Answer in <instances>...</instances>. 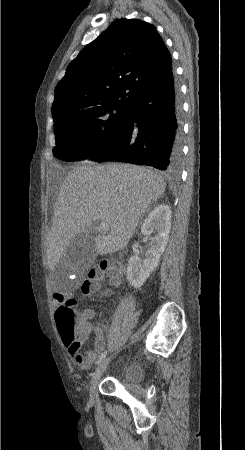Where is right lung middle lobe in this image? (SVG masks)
<instances>
[{
	"mask_svg": "<svg viewBox=\"0 0 245 450\" xmlns=\"http://www.w3.org/2000/svg\"><path fill=\"white\" fill-rule=\"evenodd\" d=\"M128 105H107L68 112H52L57 146L55 157L64 161L87 159L118 139L128 119Z\"/></svg>",
	"mask_w": 245,
	"mask_h": 450,
	"instance_id": "dd1d6c3e",
	"label": "right lung middle lobe"
}]
</instances>
